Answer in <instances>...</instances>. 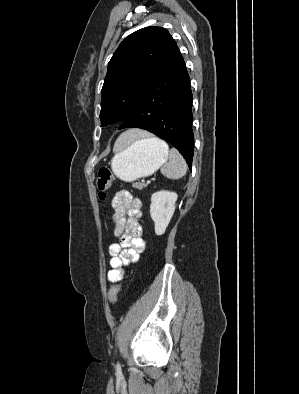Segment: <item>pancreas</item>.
Instances as JSON below:
<instances>
[{
  "mask_svg": "<svg viewBox=\"0 0 299 394\" xmlns=\"http://www.w3.org/2000/svg\"><path fill=\"white\" fill-rule=\"evenodd\" d=\"M146 186H147V184H145V183H135V184H133V187L137 188V189H142V188H144Z\"/></svg>",
  "mask_w": 299,
  "mask_h": 394,
  "instance_id": "1",
  "label": "pancreas"
}]
</instances>
